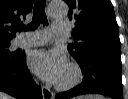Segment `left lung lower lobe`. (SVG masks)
<instances>
[{
    "instance_id": "left-lung-lower-lobe-1",
    "label": "left lung lower lobe",
    "mask_w": 128,
    "mask_h": 99,
    "mask_svg": "<svg viewBox=\"0 0 128 99\" xmlns=\"http://www.w3.org/2000/svg\"><path fill=\"white\" fill-rule=\"evenodd\" d=\"M84 75L80 85L56 95L67 99L83 94H102L123 99L121 52L114 48L93 49L77 61Z\"/></svg>"
}]
</instances>
